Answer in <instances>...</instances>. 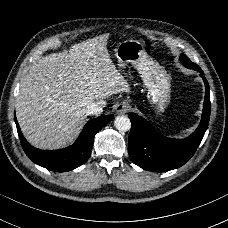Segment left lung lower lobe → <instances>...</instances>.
<instances>
[{"instance_id":"left-lung-lower-lobe-1","label":"left lung lower lobe","mask_w":228,"mask_h":228,"mask_svg":"<svg viewBox=\"0 0 228 228\" xmlns=\"http://www.w3.org/2000/svg\"><path fill=\"white\" fill-rule=\"evenodd\" d=\"M202 78L206 88L202 119L198 128L185 139L164 137L141 116L128 114L131 120L128 152L136 165L148 171L165 172L181 167L194 155L208 127L211 110L209 85Z\"/></svg>"}]
</instances>
